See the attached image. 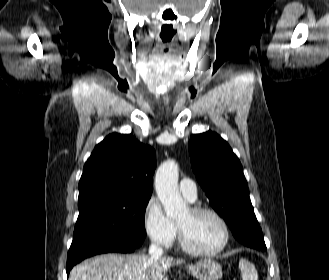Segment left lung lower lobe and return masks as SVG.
<instances>
[{"label":"left lung lower lobe","instance_id":"0a47b994","mask_svg":"<svg viewBox=\"0 0 329 280\" xmlns=\"http://www.w3.org/2000/svg\"><path fill=\"white\" fill-rule=\"evenodd\" d=\"M255 228L259 227V224L254 225ZM252 228V227H251ZM257 232H260L259 230ZM254 232L252 231V229H246L244 231L238 230L235 234L234 237L240 241L244 236L248 235V234H253ZM259 250H266V248H257Z\"/></svg>","mask_w":329,"mask_h":280}]
</instances>
